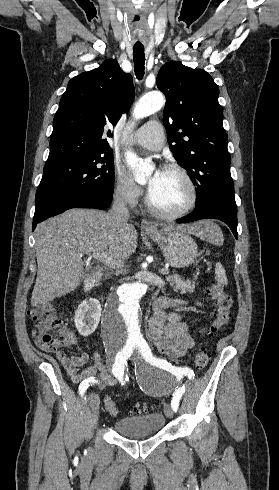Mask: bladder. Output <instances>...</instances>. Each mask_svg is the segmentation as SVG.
I'll use <instances>...</instances> for the list:
<instances>
[{
  "instance_id": "31cf9c89",
  "label": "bladder",
  "mask_w": 279,
  "mask_h": 490,
  "mask_svg": "<svg viewBox=\"0 0 279 490\" xmlns=\"http://www.w3.org/2000/svg\"><path fill=\"white\" fill-rule=\"evenodd\" d=\"M165 423V414L156 412L119 419L113 422L112 429L122 436H153L162 431Z\"/></svg>"
}]
</instances>
